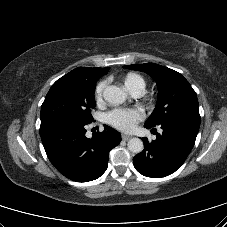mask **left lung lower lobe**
Here are the masks:
<instances>
[{
	"label": "left lung lower lobe",
	"mask_w": 227,
	"mask_h": 227,
	"mask_svg": "<svg viewBox=\"0 0 227 227\" xmlns=\"http://www.w3.org/2000/svg\"><path fill=\"white\" fill-rule=\"evenodd\" d=\"M160 126L163 133L152 142L143 138L144 150L133 158L135 169L147 177L170 175L184 163L194 146L200 121L175 119Z\"/></svg>",
	"instance_id": "left-lung-lower-lobe-1"
}]
</instances>
